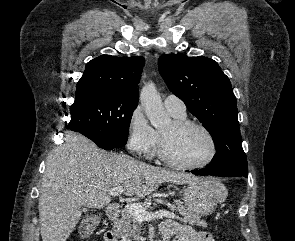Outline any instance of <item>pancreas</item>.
<instances>
[{
    "instance_id": "obj_1",
    "label": "pancreas",
    "mask_w": 295,
    "mask_h": 241,
    "mask_svg": "<svg viewBox=\"0 0 295 241\" xmlns=\"http://www.w3.org/2000/svg\"><path fill=\"white\" fill-rule=\"evenodd\" d=\"M149 200H145L140 205L143 207L148 206ZM171 209H176L182 216L180 220L190 225H197L206 228L207 223L205 220H201L200 216L194 214L185 205L176 200L174 205H169ZM113 230L115 235L121 238V241H140L142 239L140 235L139 220L136 219L130 211L125 208L121 213V219L113 223Z\"/></svg>"
}]
</instances>
